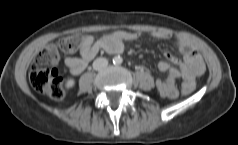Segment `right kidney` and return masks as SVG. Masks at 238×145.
I'll return each instance as SVG.
<instances>
[{"label": "right kidney", "instance_id": "right-kidney-1", "mask_svg": "<svg viewBox=\"0 0 238 145\" xmlns=\"http://www.w3.org/2000/svg\"><path fill=\"white\" fill-rule=\"evenodd\" d=\"M74 85H75V80L72 78L68 79L65 84L66 88H72Z\"/></svg>", "mask_w": 238, "mask_h": 145}]
</instances>
